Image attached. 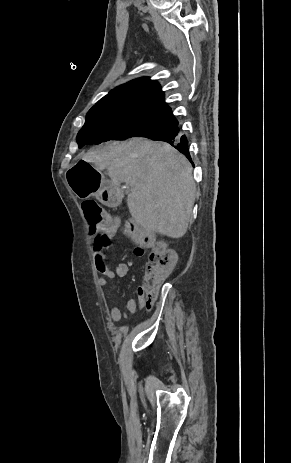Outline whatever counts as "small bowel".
I'll list each match as a JSON object with an SVG mask.
<instances>
[{"label": "small bowel", "instance_id": "obj_1", "mask_svg": "<svg viewBox=\"0 0 291 463\" xmlns=\"http://www.w3.org/2000/svg\"><path fill=\"white\" fill-rule=\"evenodd\" d=\"M90 244L93 251L95 266L100 274V277L98 278L99 286L104 288L110 287L112 279L123 278L127 275L128 265L126 263L118 262L110 264L104 258V249L113 247L111 236L108 232L104 231L99 234H92ZM134 254L136 256H142L144 254V250L140 246L136 245L134 248ZM145 305L146 298L144 290L139 288L136 296L128 301L125 310L121 309L116 300L113 302L110 312L111 319L113 322L118 323L124 314L134 315L139 308H143Z\"/></svg>", "mask_w": 291, "mask_h": 463}]
</instances>
